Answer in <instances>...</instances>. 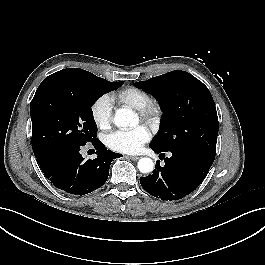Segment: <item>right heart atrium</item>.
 Here are the masks:
<instances>
[{"label": "right heart atrium", "mask_w": 265, "mask_h": 265, "mask_svg": "<svg viewBox=\"0 0 265 265\" xmlns=\"http://www.w3.org/2000/svg\"><path fill=\"white\" fill-rule=\"evenodd\" d=\"M91 116L96 126L108 129L113 121V101L108 95H102L92 104Z\"/></svg>", "instance_id": "1"}]
</instances>
